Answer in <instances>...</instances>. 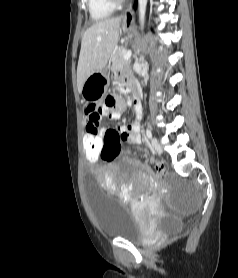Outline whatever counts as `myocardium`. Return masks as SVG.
<instances>
[{"mask_svg":"<svg viewBox=\"0 0 238 278\" xmlns=\"http://www.w3.org/2000/svg\"><path fill=\"white\" fill-rule=\"evenodd\" d=\"M109 3L115 8L121 5L124 0H108Z\"/></svg>","mask_w":238,"mask_h":278,"instance_id":"obj_1","label":"myocardium"}]
</instances>
